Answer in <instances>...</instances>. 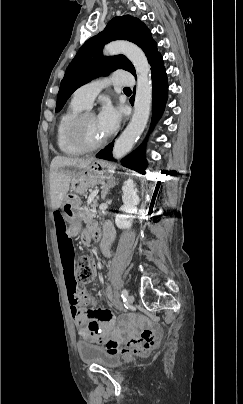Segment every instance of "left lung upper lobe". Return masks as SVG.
I'll use <instances>...</instances> for the list:
<instances>
[{"label":"left lung upper lobe","instance_id":"5c2ea615","mask_svg":"<svg viewBox=\"0 0 243 404\" xmlns=\"http://www.w3.org/2000/svg\"><path fill=\"white\" fill-rule=\"evenodd\" d=\"M117 39L137 44L146 54L150 64L160 55L150 31L139 19L130 15L113 18L104 31L82 45L67 67L57 96L56 112L62 109L77 88L98 76H106L117 69H124L136 76L134 66L124 55L102 56L104 44Z\"/></svg>","mask_w":243,"mask_h":404}]
</instances>
